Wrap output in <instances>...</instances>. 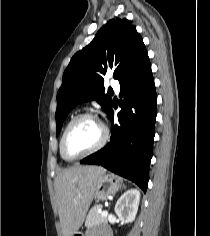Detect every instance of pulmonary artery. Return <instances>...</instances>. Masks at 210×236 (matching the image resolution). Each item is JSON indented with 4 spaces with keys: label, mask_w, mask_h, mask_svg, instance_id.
I'll return each instance as SVG.
<instances>
[{
    "label": "pulmonary artery",
    "mask_w": 210,
    "mask_h": 236,
    "mask_svg": "<svg viewBox=\"0 0 210 236\" xmlns=\"http://www.w3.org/2000/svg\"><path fill=\"white\" fill-rule=\"evenodd\" d=\"M112 88L116 91L119 90V82L115 79H112L111 82H110Z\"/></svg>",
    "instance_id": "obj_1"
}]
</instances>
